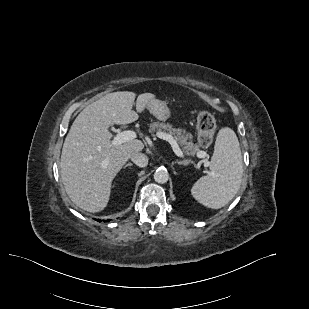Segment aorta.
I'll return each mask as SVG.
<instances>
[{
	"mask_svg": "<svg viewBox=\"0 0 309 309\" xmlns=\"http://www.w3.org/2000/svg\"><path fill=\"white\" fill-rule=\"evenodd\" d=\"M169 179V173L166 168L160 167L154 173V180L157 183L164 184Z\"/></svg>",
	"mask_w": 309,
	"mask_h": 309,
	"instance_id": "aorta-1",
	"label": "aorta"
}]
</instances>
